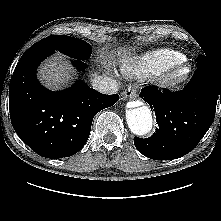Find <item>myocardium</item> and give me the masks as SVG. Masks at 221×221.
I'll return each mask as SVG.
<instances>
[{
  "label": "myocardium",
  "instance_id": "obj_1",
  "mask_svg": "<svg viewBox=\"0 0 221 221\" xmlns=\"http://www.w3.org/2000/svg\"><path fill=\"white\" fill-rule=\"evenodd\" d=\"M191 72V67L188 64H177L164 71L159 79V85L163 88H175L187 82Z\"/></svg>",
  "mask_w": 221,
  "mask_h": 221
}]
</instances>
